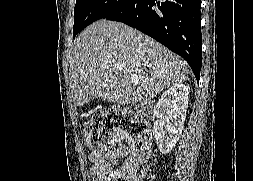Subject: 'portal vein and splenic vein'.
<instances>
[{"mask_svg": "<svg viewBox=\"0 0 253 181\" xmlns=\"http://www.w3.org/2000/svg\"><path fill=\"white\" fill-rule=\"evenodd\" d=\"M118 69L121 71V70H123V67L119 66Z\"/></svg>", "mask_w": 253, "mask_h": 181, "instance_id": "1", "label": "portal vein and splenic vein"}]
</instances>
